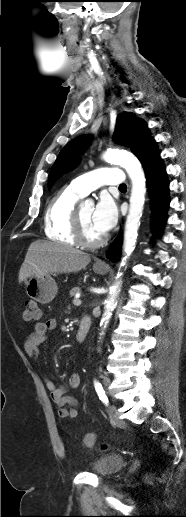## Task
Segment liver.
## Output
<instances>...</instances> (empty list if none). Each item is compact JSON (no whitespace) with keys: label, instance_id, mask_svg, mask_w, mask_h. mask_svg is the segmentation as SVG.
Here are the masks:
<instances>
[{"label":"liver","instance_id":"1","mask_svg":"<svg viewBox=\"0 0 186 517\" xmlns=\"http://www.w3.org/2000/svg\"><path fill=\"white\" fill-rule=\"evenodd\" d=\"M90 261L89 254L71 246L38 240L28 248L19 271V283L33 276L78 272Z\"/></svg>","mask_w":186,"mask_h":517}]
</instances>
